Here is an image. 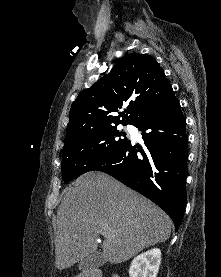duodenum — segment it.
Returning a JSON list of instances; mask_svg holds the SVG:
<instances>
[{"label":"duodenum","instance_id":"410a0bca","mask_svg":"<svg viewBox=\"0 0 221 277\" xmlns=\"http://www.w3.org/2000/svg\"><path fill=\"white\" fill-rule=\"evenodd\" d=\"M85 277H101L100 272L97 270H91L86 273ZM117 277V276H114Z\"/></svg>","mask_w":221,"mask_h":277}]
</instances>
